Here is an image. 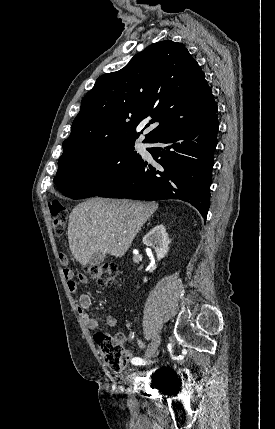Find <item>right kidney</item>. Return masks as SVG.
I'll use <instances>...</instances> for the list:
<instances>
[{
  "label": "right kidney",
  "mask_w": 275,
  "mask_h": 429,
  "mask_svg": "<svg viewBox=\"0 0 275 429\" xmlns=\"http://www.w3.org/2000/svg\"><path fill=\"white\" fill-rule=\"evenodd\" d=\"M143 243L155 250L158 261L163 259L169 250L168 245L170 243L165 227L162 224L155 226L143 237ZM146 281L147 278L145 277L144 282Z\"/></svg>",
  "instance_id": "ca27d5eb"
}]
</instances>
